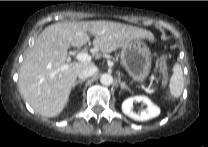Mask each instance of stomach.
I'll return each mask as SVG.
<instances>
[{
  "label": "stomach",
  "instance_id": "obj_1",
  "mask_svg": "<svg viewBox=\"0 0 208 147\" xmlns=\"http://www.w3.org/2000/svg\"><path fill=\"white\" fill-rule=\"evenodd\" d=\"M121 62L135 81L143 82L151 70V52L140 39L134 40L122 48Z\"/></svg>",
  "mask_w": 208,
  "mask_h": 147
}]
</instances>
